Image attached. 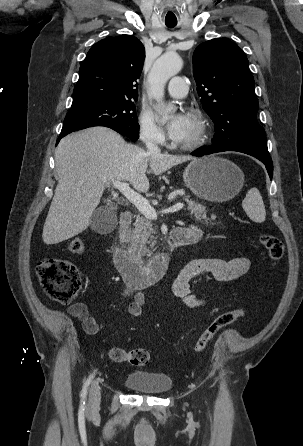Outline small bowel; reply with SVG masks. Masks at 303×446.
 Wrapping results in <instances>:
<instances>
[{"label":"small bowel","instance_id":"small-bowel-1","mask_svg":"<svg viewBox=\"0 0 303 446\" xmlns=\"http://www.w3.org/2000/svg\"><path fill=\"white\" fill-rule=\"evenodd\" d=\"M189 234L194 242L202 237V230L197 226L183 228ZM193 242V243H194ZM250 267L247 258L238 257L230 260L216 258H200L191 260L178 273L172 283L174 295L180 299L186 306L192 309H199L205 306V301L197 297L192 290V285L203 277L211 276L217 281H234L244 277ZM127 294L133 293L132 289L126 291ZM145 301V291L141 290L135 293L134 301L128 306V315L131 318H137L141 314L142 306ZM70 316L78 319L83 330L89 335L99 333L104 323L98 321L90 312L88 305L84 303H75L67 308Z\"/></svg>","mask_w":303,"mask_h":446}]
</instances>
